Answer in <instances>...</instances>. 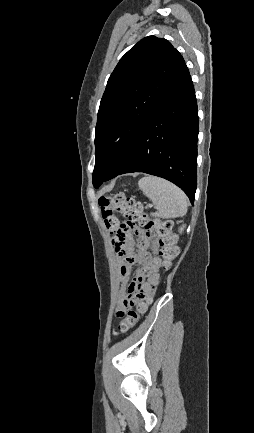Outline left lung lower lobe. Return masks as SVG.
Listing matches in <instances>:
<instances>
[{"label":"left lung lower lobe","instance_id":"left-lung-lower-lobe-1","mask_svg":"<svg viewBox=\"0 0 254 433\" xmlns=\"http://www.w3.org/2000/svg\"><path fill=\"white\" fill-rule=\"evenodd\" d=\"M198 131L195 91L184 63L142 127L128 156L107 180L130 172L159 176L180 187L193 204Z\"/></svg>","mask_w":254,"mask_h":433}]
</instances>
